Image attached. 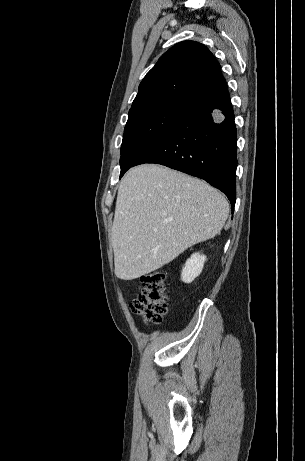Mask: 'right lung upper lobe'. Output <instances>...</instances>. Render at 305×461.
Here are the masks:
<instances>
[{"instance_id":"obj_1","label":"right lung upper lobe","mask_w":305,"mask_h":461,"mask_svg":"<svg viewBox=\"0 0 305 461\" xmlns=\"http://www.w3.org/2000/svg\"><path fill=\"white\" fill-rule=\"evenodd\" d=\"M226 85L213 54L195 41H183L164 53L139 85L129 112L161 104L192 106Z\"/></svg>"}]
</instances>
